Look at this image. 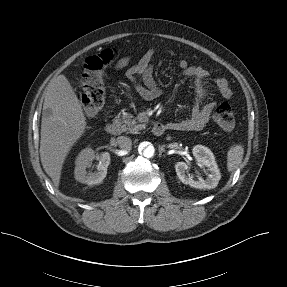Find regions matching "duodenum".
<instances>
[{"label": "duodenum", "instance_id": "410a0bca", "mask_svg": "<svg viewBox=\"0 0 287 287\" xmlns=\"http://www.w3.org/2000/svg\"><path fill=\"white\" fill-rule=\"evenodd\" d=\"M105 129L109 134L112 135H118L121 132L119 125L115 122H108ZM152 132L156 136H161L165 132V126L160 122H156L152 127Z\"/></svg>", "mask_w": 287, "mask_h": 287}]
</instances>
